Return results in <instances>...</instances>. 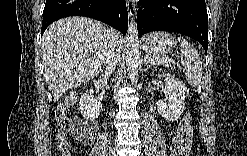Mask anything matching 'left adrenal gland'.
Here are the masks:
<instances>
[{
  "label": "left adrenal gland",
  "mask_w": 247,
  "mask_h": 156,
  "mask_svg": "<svg viewBox=\"0 0 247 156\" xmlns=\"http://www.w3.org/2000/svg\"><path fill=\"white\" fill-rule=\"evenodd\" d=\"M145 67L148 69L149 67H152V64L149 63L148 58L144 57Z\"/></svg>",
  "instance_id": "1"
}]
</instances>
